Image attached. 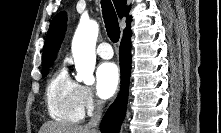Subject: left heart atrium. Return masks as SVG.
Instances as JSON below:
<instances>
[{
    "label": "left heart atrium",
    "instance_id": "obj_1",
    "mask_svg": "<svg viewBox=\"0 0 221 133\" xmlns=\"http://www.w3.org/2000/svg\"><path fill=\"white\" fill-rule=\"evenodd\" d=\"M119 71L114 63H102L96 70V90L101 98L111 97L119 85Z\"/></svg>",
    "mask_w": 221,
    "mask_h": 133
}]
</instances>
